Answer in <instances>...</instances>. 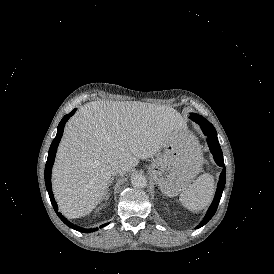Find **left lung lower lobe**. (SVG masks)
Returning a JSON list of instances; mask_svg holds the SVG:
<instances>
[{
  "label": "left lung lower lobe",
  "instance_id": "1",
  "mask_svg": "<svg viewBox=\"0 0 274 274\" xmlns=\"http://www.w3.org/2000/svg\"><path fill=\"white\" fill-rule=\"evenodd\" d=\"M189 118L200 125L202 131L208 137V139H207L208 145H209V148L213 154V157H214L216 163L223 168L222 173L220 174V178H219V182H218L214 200H213L206 216L204 217L202 222L197 227V228H200L203 225H205L213 217V215L215 214V212L217 210L219 201L222 196L223 189L225 187L226 172H225L222 150L220 148V145H219V142L217 139V132H216L214 126L208 120H206L204 117H202L201 115L195 114V113H191Z\"/></svg>",
  "mask_w": 274,
  "mask_h": 274
}]
</instances>
